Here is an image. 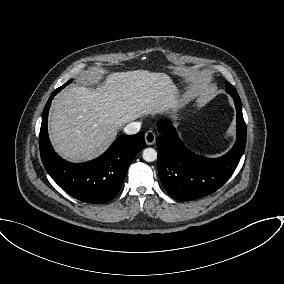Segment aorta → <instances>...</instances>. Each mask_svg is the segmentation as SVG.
Returning a JSON list of instances; mask_svg holds the SVG:
<instances>
[{
    "mask_svg": "<svg viewBox=\"0 0 284 284\" xmlns=\"http://www.w3.org/2000/svg\"><path fill=\"white\" fill-rule=\"evenodd\" d=\"M142 157L146 162H153L157 159V152L153 148H146L143 150Z\"/></svg>",
    "mask_w": 284,
    "mask_h": 284,
    "instance_id": "aorta-1",
    "label": "aorta"
}]
</instances>
